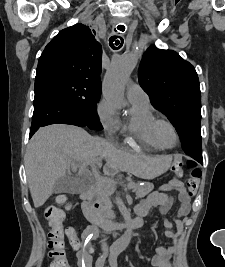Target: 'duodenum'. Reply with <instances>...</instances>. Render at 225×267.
Returning <instances> with one entry per match:
<instances>
[{"label": "duodenum", "mask_w": 225, "mask_h": 267, "mask_svg": "<svg viewBox=\"0 0 225 267\" xmlns=\"http://www.w3.org/2000/svg\"><path fill=\"white\" fill-rule=\"evenodd\" d=\"M82 210L87 220L104 230H116L120 228L137 229L142 225V220L139 218L127 219L121 224L112 222L101 214L100 206L96 201L90 200L87 195L85 196V201L82 203Z\"/></svg>", "instance_id": "obj_1"}]
</instances>
